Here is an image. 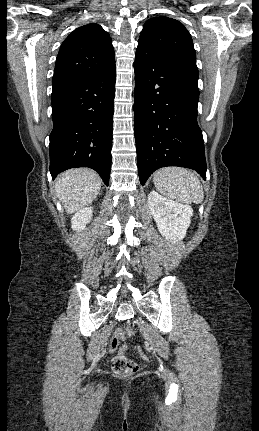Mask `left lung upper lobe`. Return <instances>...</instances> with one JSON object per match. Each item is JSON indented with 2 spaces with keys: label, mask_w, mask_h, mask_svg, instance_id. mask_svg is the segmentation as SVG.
<instances>
[{
  "label": "left lung upper lobe",
  "mask_w": 259,
  "mask_h": 431,
  "mask_svg": "<svg viewBox=\"0 0 259 431\" xmlns=\"http://www.w3.org/2000/svg\"><path fill=\"white\" fill-rule=\"evenodd\" d=\"M138 46L198 73L191 35L185 26L175 19L161 16L147 20L140 33Z\"/></svg>",
  "instance_id": "1"
}]
</instances>
